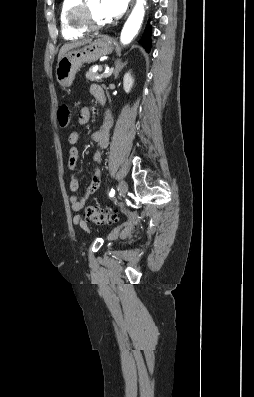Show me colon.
<instances>
[{
	"label": "colon",
	"mask_w": 254,
	"mask_h": 397,
	"mask_svg": "<svg viewBox=\"0 0 254 397\" xmlns=\"http://www.w3.org/2000/svg\"><path fill=\"white\" fill-rule=\"evenodd\" d=\"M71 109L67 104H62L57 113L60 127L66 128L70 123ZM86 219L97 224H111L118 220V214L115 211H104L94 206L86 209Z\"/></svg>",
	"instance_id": "obj_1"
}]
</instances>
